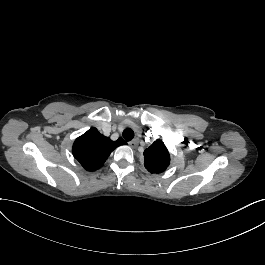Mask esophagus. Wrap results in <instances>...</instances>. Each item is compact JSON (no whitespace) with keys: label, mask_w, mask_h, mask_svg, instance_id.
<instances>
[{"label":"esophagus","mask_w":265,"mask_h":265,"mask_svg":"<svg viewBox=\"0 0 265 265\" xmlns=\"http://www.w3.org/2000/svg\"><path fill=\"white\" fill-rule=\"evenodd\" d=\"M128 144L130 145L131 148L135 149L139 145V139L136 137V138L132 139L131 141H129Z\"/></svg>","instance_id":"34e87169"}]
</instances>
